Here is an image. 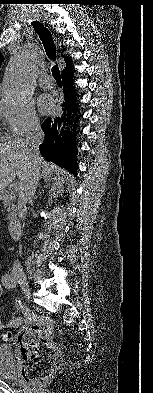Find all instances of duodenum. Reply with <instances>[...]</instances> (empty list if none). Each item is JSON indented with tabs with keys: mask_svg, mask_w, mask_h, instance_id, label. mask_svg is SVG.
Instances as JSON below:
<instances>
[{
	"mask_svg": "<svg viewBox=\"0 0 153 393\" xmlns=\"http://www.w3.org/2000/svg\"><path fill=\"white\" fill-rule=\"evenodd\" d=\"M1 198H4V196H1ZM8 231L12 238H18L22 232V225L20 221L16 218H12L9 223Z\"/></svg>",
	"mask_w": 153,
	"mask_h": 393,
	"instance_id": "duodenum-1",
	"label": "duodenum"
}]
</instances>
